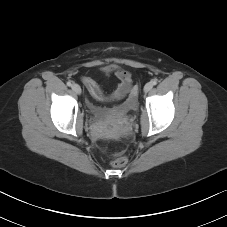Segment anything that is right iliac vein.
Returning <instances> with one entry per match:
<instances>
[{"label":"right iliac vein","mask_w":227,"mask_h":227,"mask_svg":"<svg viewBox=\"0 0 227 227\" xmlns=\"http://www.w3.org/2000/svg\"><path fill=\"white\" fill-rule=\"evenodd\" d=\"M72 90H73L76 94H81V87H80L78 84H76V83H74V84L72 85Z\"/></svg>","instance_id":"obj_1"}]
</instances>
